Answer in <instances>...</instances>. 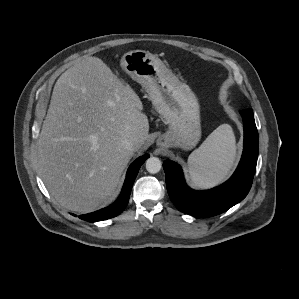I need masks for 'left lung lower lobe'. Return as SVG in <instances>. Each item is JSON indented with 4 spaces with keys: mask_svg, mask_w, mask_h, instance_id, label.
<instances>
[{
    "mask_svg": "<svg viewBox=\"0 0 299 299\" xmlns=\"http://www.w3.org/2000/svg\"><path fill=\"white\" fill-rule=\"evenodd\" d=\"M244 125V149L232 177L222 185L206 191H195L185 183L181 167L169 160L163 162L168 194L183 213L211 217L227 211L248 194L256 170L258 132L252 109L240 111Z\"/></svg>",
    "mask_w": 299,
    "mask_h": 299,
    "instance_id": "0a47b994",
    "label": "left lung lower lobe"
}]
</instances>
